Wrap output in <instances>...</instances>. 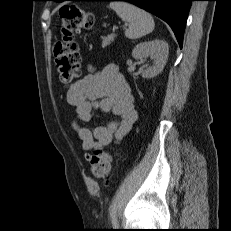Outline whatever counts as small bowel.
<instances>
[{
  "instance_id": "small-bowel-1",
  "label": "small bowel",
  "mask_w": 231,
  "mask_h": 231,
  "mask_svg": "<svg viewBox=\"0 0 231 231\" xmlns=\"http://www.w3.org/2000/svg\"><path fill=\"white\" fill-rule=\"evenodd\" d=\"M66 98L75 109L72 127L84 151H96L120 142L138 117L130 85L115 64L101 70L90 67L88 74L68 88ZM96 110L112 112L116 118L95 128L83 126L91 121Z\"/></svg>"
}]
</instances>
